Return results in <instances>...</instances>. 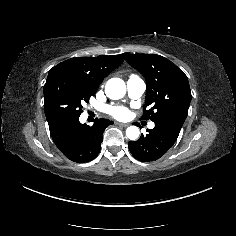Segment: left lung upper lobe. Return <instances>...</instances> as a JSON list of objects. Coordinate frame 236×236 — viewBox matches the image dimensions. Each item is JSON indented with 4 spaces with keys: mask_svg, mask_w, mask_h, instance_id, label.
I'll return each instance as SVG.
<instances>
[{
    "mask_svg": "<svg viewBox=\"0 0 236 236\" xmlns=\"http://www.w3.org/2000/svg\"><path fill=\"white\" fill-rule=\"evenodd\" d=\"M126 61L146 79L143 120L168 116L186 119L191 101L187 76L174 63L156 54H125Z\"/></svg>",
    "mask_w": 236,
    "mask_h": 236,
    "instance_id": "left-lung-upper-lobe-1",
    "label": "left lung upper lobe"
}]
</instances>
